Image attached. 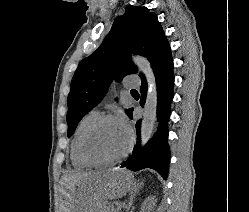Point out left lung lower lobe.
I'll list each match as a JSON object with an SVG mask.
<instances>
[{"mask_svg": "<svg viewBox=\"0 0 249 212\" xmlns=\"http://www.w3.org/2000/svg\"><path fill=\"white\" fill-rule=\"evenodd\" d=\"M153 66L157 85V121L159 127L153 138L143 148L140 147L141 120L136 122L137 146L132 157H129L121 167H126L132 171H139L144 168L156 170L164 179H167L170 151L168 145V120L170 117V106L173 99L174 74L173 60L169 44L165 45L155 60ZM141 76V100L143 107L147 94V82L144 75ZM133 109L126 112L132 118Z\"/></svg>", "mask_w": 249, "mask_h": 212, "instance_id": "obj_1", "label": "left lung lower lobe"}]
</instances>
